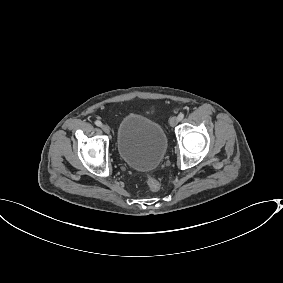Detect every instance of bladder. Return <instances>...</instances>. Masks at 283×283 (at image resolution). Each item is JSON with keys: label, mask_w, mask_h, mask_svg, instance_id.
<instances>
[{"label": "bladder", "mask_w": 283, "mask_h": 283, "mask_svg": "<svg viewBox=\"0 0 283 283\" xmlns=\"http://www.w3.org/2000/svg\"><path fill=\"white\" fill-rule=\"evenodd\" d=\"M169 138L154 119L139 113L122 118L116 134L119 158L129 167L149 171L156 168L166 155Z\"/></svg>", "instance_id": "bladder-1"}]
</instances>
